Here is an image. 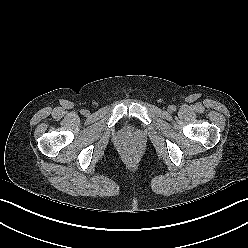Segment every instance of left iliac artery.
Instances as JSON below:
<instances>
[{
    "mask_svg": "<svg viewBox=\"0 0 248 248\" xmlns=\"http://www.w3.org/2000/svg\"><path fill=\"white\" fill-rule=\"evenodd\" d=\"M172 110L175 111L176 110V106L175 105H172Z\"/></svg>",
    "mask_w": 248,
    "mask_h": 248,
    "instance_id": "obj_1",
    "label": "left iliac artery"
}]
</instances>
